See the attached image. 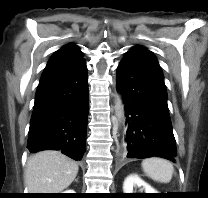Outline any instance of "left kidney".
I'll list each match as a JSON object with an SVG mask.
<instances>
[{
    "mask_svg": "<svg viewBox=\"0 0 208 198\" xmlns=\"http://www.w3.org/2000/svg\"><path fill=\"white\" fill-rule=\"evenodd\" d=\"M135 186L141 188L140 190H144V193H158V191L143 181L138 175H129L126 177L123 183V192L133 193V188Z\"/></svg>",
    "mask_w": 208,
    "mask_h": 198,
    "instance_id": "left-kidney-1",
    "label": "left kidney"
}]
</instances>
